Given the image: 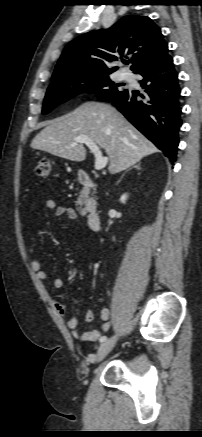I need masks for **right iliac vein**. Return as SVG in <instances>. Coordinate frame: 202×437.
Returning a JSON list of instances; mask_svg holds the SVG:
<instances>
[{
	"instance_id": "1",
	"label": "right iliac vein",
	"mask_w": 202,
	"mask_h": 437,
	"mask_svg": "<svg viewBox=\"0 0 202 437\" xmlns=\"http://www.w3.org/2000/svg\"><path fill=\"white\" fill-rule=\"evenodd\" d=\"M116 343V337H112L106 341H104L98 348L96 355L93 358V362L97 363L102 361L109 352L113 349Z\"/></svg>"
}]
</instances>
